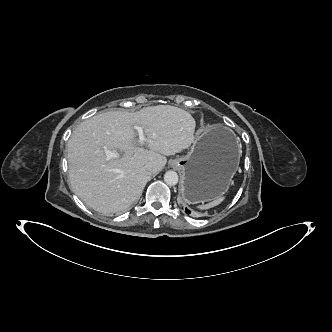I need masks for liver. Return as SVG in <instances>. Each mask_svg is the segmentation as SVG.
Here are the masks:
<instances>
[{"mask_svg":"<svg viewBox=\"0 0 332 332\" xmlns=\"http://www.w3.org/2000/svg\"><path fill=\"white\" fill-rule=\"evenodd\" d=\"M143 128L146 141L137 144L134 129ZM195 119L171 105L145 107L138 112L108 111L83 121L67 143L69 180L75 194L98 212L123 211L134 203L160 172L166 156L191 146L200 136ZM145 145V147H144ZM118 151L107 159L105 151ZM153 164L152 171L145 165Z\"/></svg>","mask_w":332,"mask_h":332,"instance_id":"obj_1","label":"liver"}]
</instances>
